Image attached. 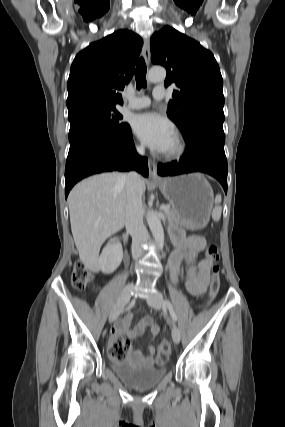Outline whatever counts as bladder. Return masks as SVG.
<instances>
[{"instance_id": "31cf9c89", "label": "bladder", "mask_w": 285, "mask_h": 427, "mask_svg": "<svg viewBox=\"0 0 285 427\" xmlns=\"http://www.w3.org/2000/svg\"><path fill=\"white\" fill-rule=\"evenodd\" d=\"M112 369L122 382L138 390L154 388L166 375V368L156 366H130L113 362Z\"/></svg>"}]
</instances>
